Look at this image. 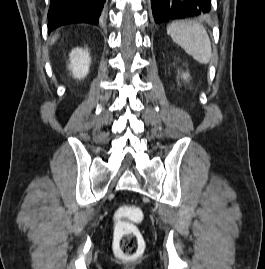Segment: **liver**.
Listing matches in <instances>:
<instances>
[{
    "label": "liver",
    "instance_id": "obj_1",
    "mask_svg": "<svg viewBox=\"0 0 265 269\" xmlns=\"http://www.w3.org/2000/svg\"><path fill=\"white\" fill-rule=\"evenodd\" d=\"M57 39V36L53 37L52 40H51V44L54 43Z\"/></svg>",
    "mask_w": 265,
    "mask_h": 269
}]
</instances>
